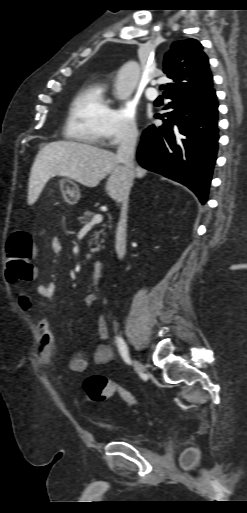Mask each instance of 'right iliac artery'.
<instances>
[{
  "label": "right iliac artery",
  "instance_id": "1",
  "mask_svg": "<svg viewBox=\"0 0 247 513\" xmlns=\"http://www.w3.org/2000/svg\"><path fill=\"white\" fill-rule=\"evenodd\" d=\"M116 343H117V346L119 348V352L121 354V357L122 359L124 360V362H126L127 364H132V360L131 358L129 357V354H128V349H127V346L125 344V342L123 341V339L121 337H116Z\"/></svg>",
  "mask_w": 247,
  "mask_h": 513
}]
</instances>
